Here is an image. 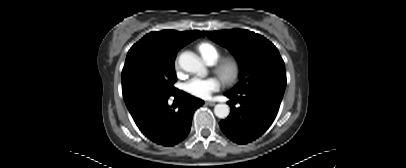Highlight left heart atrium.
<instances>
[{
  "label": "left heart atrium",
  "instance_id": "1",
  "mask_svg": "<svg viewBox=\"0 0 406 168\" xmlns=\"http://www.w3.org/2000/svg\"><path fill=\"white\" fill-rule=\"evenodd\" d=\"M221 87V80L217 77H194L186 84V90L193 96L206 99Z\"/></svg>",
  "mask_w": 406,
  "mask_h": 168
}]
</instances>
